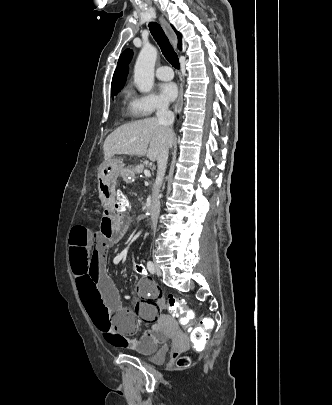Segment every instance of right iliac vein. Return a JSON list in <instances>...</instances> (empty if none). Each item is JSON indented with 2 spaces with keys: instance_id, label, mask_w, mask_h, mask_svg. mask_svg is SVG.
Returning <instances> with one entry per match:
<instances>
[{
  "instance_id": "right-iliac-vein-1",
  "label": "right iliac vein",
  "mask_w": 332,
  "mask_h": 405,
  "mask_svg": "<svg viewBox=\"0 0 332 405\" xmlns=\"http://www.w3.org/2000/svg\"><path fill=\"white\" fill-rule=\"evenodd\" d=\"M154 268L157 274H161V269L157 264H154Z\"/></svg>"
}]
</instances>
